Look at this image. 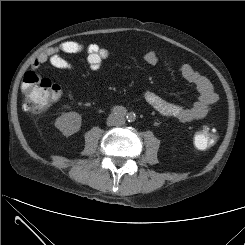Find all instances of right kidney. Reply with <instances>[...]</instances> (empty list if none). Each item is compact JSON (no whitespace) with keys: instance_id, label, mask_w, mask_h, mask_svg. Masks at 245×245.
Returning a JSON list of instances; mask_svg holds the SVG:
<instances>
[{"instance_id":"1","label":"right kidney","mask_w":245,"mask_h":245,"mask_svg":"<svg viewBox=\"0 0 245 245\" xmlns=\"http://www.w3.org/2000/svg\"><path fill=\"white\" fill-rule=\"evenodd\" d=\"M81 116L76 112L63 113L55 121V127L58 128L65 136L73 135L81 127Z\"/></svg>"}]
</instances>
